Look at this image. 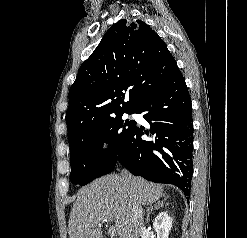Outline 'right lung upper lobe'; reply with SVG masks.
<instances>
[{
    "instance_id": "obj_1",
    "label": "right lung upper lobe",
    "mask_w": 247,
    "mask_h": 238,
    "mask_svg": "<svg viewBox=\"0 0 247 238\" xmlns=\"http://www.w3.org/2000/svg\"><path fill=\"white\" fill-rule=\"evenodd\" d=\"M163 40L146 23L119 20L81 65L69 91V146L89 128L134 112L178 70ZM129 100L124 102L125 93Z\"/></svg>"
}]
</instances>
